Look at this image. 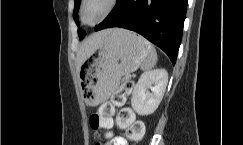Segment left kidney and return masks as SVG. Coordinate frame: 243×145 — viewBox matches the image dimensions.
<instances>
[{"instance_id":"obj_1","label":"left kidney","mask_w":243,"mask_h":145,"mask_svg":"<svg viewBox=\"0 0 243 145\" xmlns=\"http://www.w3.org/2000/svg\"><path fill=\"white\" fill-rule=\"evenodd\" d=\"M167 83L168 73L165 69H155L143 73L132 94L131 106L133 110L138 115L154 113L163 98Z\"/></svg>"}]
</instances>
